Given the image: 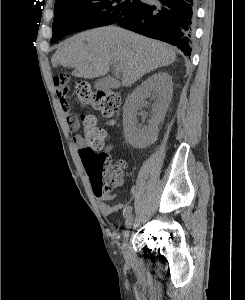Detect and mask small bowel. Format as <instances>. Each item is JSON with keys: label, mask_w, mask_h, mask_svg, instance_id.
<instances>
[{"label": "small bowel", "mask_w": 245, "mask_h": 300, "mask_svg": "<svg viewBox=\"0 0 245 300\" xmlns=\"http://www.w3.org/2000/svg\"><path fill=\"white\" fill-rule=\"evenodd\" d=\"M58 97L61 98V107L63 109V111L67 114L66 115V120L69 126V130L71 131V133H73V141L74 143L77 145V147L79 149H81L82 147H84L86 145V142L84 140V138L81 136V134L79 133V129H80V124L77 120V118L74 115L69 114V107L68 104L66 103V101H64L62 99L63 97V93L57 91ZM104 151L102 152L103 155H105L107 158L109 157V153L112 151L113 146L108 144L106 146L103 147ZM123 181H121L119 183V185L122 184ZM137 187L133 186L130 189V193L132 196H135L137 194ZM110 199V196L107 197H99L98 200V204H99V209L103 214H110L116 211H119L121 209H126L127 207H125L124 203H116V204H108L107 200Z\"/></svg>", "instance_id": "small-bowel-1"}]
</instances>
